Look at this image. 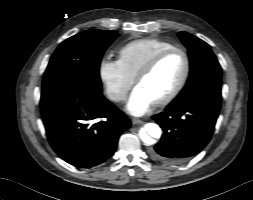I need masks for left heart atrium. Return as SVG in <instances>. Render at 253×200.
<instances>
[{
    "mask_svg": "<svg viewBox=\"0 0 253 200\" xmlns=\"http://www.w3.org/2000/svg\"><path fill=\"white\" fill-rule=\"evenodd\" d=\"M154 104L153 99L141 87L136 86L128 99L126 110L134 116H141Z\"/></svg>",
    "mask_w": 253,
    "mask_h": 200,
    "instance_id": "39dd6f15",
    "label": "left heart atrium"
}]
</instances>
